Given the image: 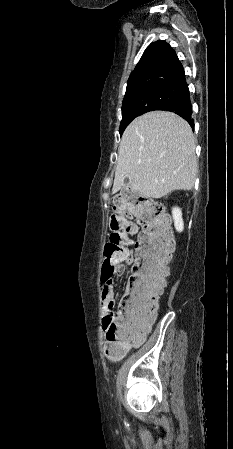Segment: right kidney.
<instances>
[{"instance_id": "obj_1", "label": "right kidney", "mask_w": 233, "mask_h": 449, "mask_svg": "<svg viewBox=\"0 0 233 449\" xmlns=\"http://www.w3.org/2000/svg\"><path fill=\"white\" fill-rule=\"evenodd\" d=\"M172 216H173V220H174L175 229L178 232H182L183 229H184V222H183V219H182V211H181V209L178 208V207H174L172 209Z\"/></svg>"}]
</instances>
